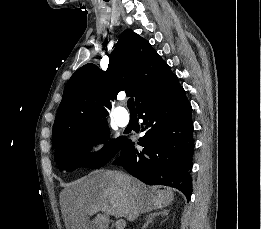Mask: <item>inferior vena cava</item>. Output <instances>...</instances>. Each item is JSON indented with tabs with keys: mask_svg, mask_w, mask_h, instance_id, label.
<instances>
[{
	"mask_svg": "<svg viewBox=\"0 0 261 229\" xmlns=\"http://www.w3.org/2000/svg\"><path fill=\"white\" fill-rule=\"evenodd\" d=\"M126 181H128V179H126ZM132 209H133L132 215H135V217H136V215H137L136 203H132Z\"/></svg>",
	"mask_w": 261,
	"mask_h": 229,
	"instance_id": "obj_1",
	"label": "inferior vena cava"
}]
</instances>
